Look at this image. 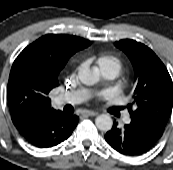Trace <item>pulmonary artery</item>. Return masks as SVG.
<instances>
[{"instance_id": "1", "label": "pulmonary artery", "mask_w": 173, "mask_h": 170, "mask_svg": "<svg viewBox=\"0 0 173 170\" xmlns=\"http://www.w3.org/2000/svg\"><path fill=\"white\" fill-rule=\"evenodd\" d=\"M99 71L104 79H113L116 75L115 69L109 66H98ZM94 91L92 89H78L75 91L64 92L59 95V101L64 104H78L88 100ZM130 121L129 117L126 116L124 119L125 123Z\"/></svg>"}]
</instances>
